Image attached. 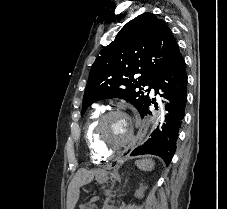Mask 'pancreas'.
Segmentation results:
<instances>
[{
	"mask_svg": "<svg viewBox=\"0 0 227 209\" xmlns=\"http://www.w3.org/2000/svg\"><path fill=\"white\" fill-rule=\"evenodd\" d=\"M85 209H91V207L90 206H86Z\"/></svg>",
	"mask_w": 227,
	"mask_h": 209,
	"instance_id": "obj_1",
	"label": "pancreas"
}]
</instances>
